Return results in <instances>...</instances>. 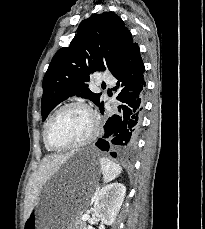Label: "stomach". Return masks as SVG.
<instances>
[{
  "mask_svg": "<svg viewBox=\"0 0 205 229\" xmlns=\"http://www.w3.org/2000/svg\"><path fill=\"white\" fill-rule=\"evenodd\" d=\"M101 171L93 152L73 154L48 191L40 197L24 221L23 229H75Z\"/></svg>",
  "mask_w": 205,
  "mask_h": 229,
  "instance_id": "stomach-1",
  "label": "stomach"
}]
</instances>
